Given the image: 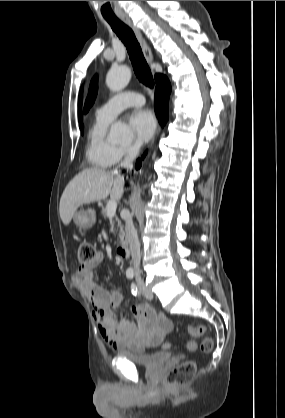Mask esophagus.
Returning <instances> with one entry per match:
<instances>
[{
    "mask_svg": "<svg viewBox=\"0 0 285 418\" xmlns=\"http://www.w3.org/2000/svg\"><path fill=\"white\" fill-rule=\"evenodd\" d=\"M119 18L134 31V33H135V35H136V37H137V39H138V41L141 45V48H142V51H143V54H144V57H145L147 63L150 66H152V64H153L152 52H151L147 42L145 41V39H144L140 29L138 28V26L126 14L119 15Z\"/></svg>",
    "mask_w": 285,
    "mask_h": 418,
    "instance_id": "34e87169",
    "label": "esophagus"
}]
</instances>
